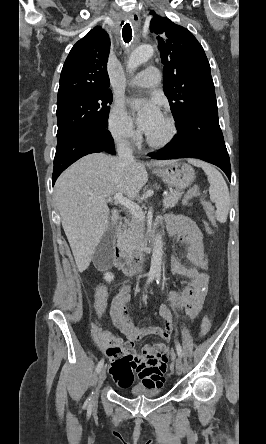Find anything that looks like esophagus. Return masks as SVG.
<instances>
[{
	"instance_id": "1",
	"label": "esophagus",
	"mask_w": 266,
	"mask_h": 444,
	"mask_svg": "<svg viewBox=\"0 0 266 444\" xmlns=\"http://www.w3.org/2000/svg\"><path fill=\"white\" fill-rule=\"evenodd\" d=\"M129 17H130L131 21H132L136 26L139 25V23H140V16H139L138 12L133 11V12L130 14Z\"/></svg>"
}]
</instances>
